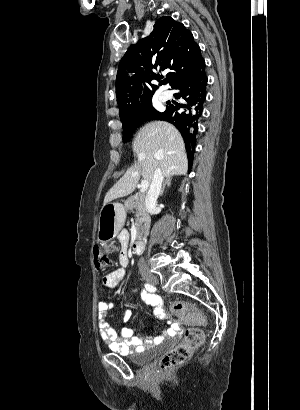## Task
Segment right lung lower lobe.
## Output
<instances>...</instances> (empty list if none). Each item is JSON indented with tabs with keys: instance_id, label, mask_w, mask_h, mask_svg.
<instances>
[{
	"instance_id": "1",
	"label": "right lung lower lobe",
	"mask_w": 300,
	"mask_h": 410,
	"mask_svg": "<svg viewBox=\"0 0 300 410\" xmlns=\"http://www.w3.org/2000/svg\"><path fill=\"white\" fill-rule=\"evenodd\" d=\"M206 87L205 61L201 57L172 86V89L177 91L175 96L184 99L185 103L169 105L163 113H158L154 117V119L165 120L176 126L184 138L186 151L187 149L195 151L198 122L203 112ZM188 160L191 166L193 156L190 159L188 155Z\"/></svg>"
}]
</instances>
